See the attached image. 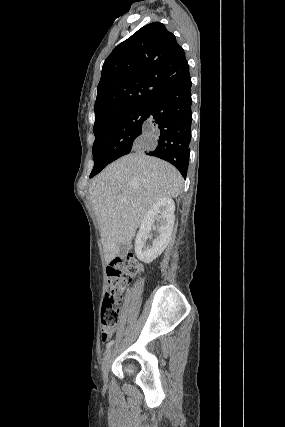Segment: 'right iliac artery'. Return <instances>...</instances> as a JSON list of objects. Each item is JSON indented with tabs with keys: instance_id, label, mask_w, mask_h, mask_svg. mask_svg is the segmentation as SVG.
Returning a JSON list of instances; mask_svg holds the SVG:
<instances>
[{
	"instance_id": "obj_1",
	"label": "right iliac artery",
	"mask_w": 285,
	"mask_h": 427,
	"mask_svg": "<svg viewBox=\"0 0 285 427\" xmlns=\"http://www.w3.org/2000/svg\"><path fill=\"white\" fill-rule=\"evenodd\" d=\"M113 343H114V340H111V341H109L107 343V345H106V351L105 352H107L111 348V346L113 345Z\"/></svg>"
}]
</instances>
